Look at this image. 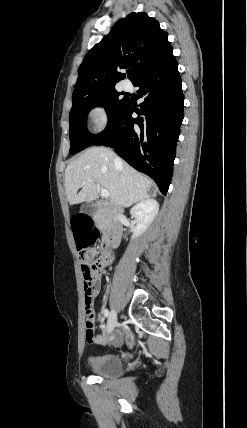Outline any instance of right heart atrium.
Returning <instances> with one entry per match:
<instances>
[{"label":"right heart atrium","mask_w":247,"mask_h":428,"mask_svg":"<svg viewBox=\"0 0 247 428\" xmlns=\"http://www.w3.org/2000/svg\"><path fill=\"white\" fill-rule=\"evenodd\" d=\"M88 115L93 129L96 131L105 129L109 123V112L104 104L93 105Z\"/></svg>","instance_id":"right-heart-atrium-1"}]
</instances>
